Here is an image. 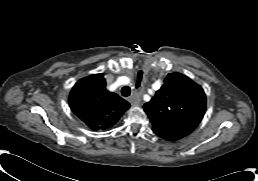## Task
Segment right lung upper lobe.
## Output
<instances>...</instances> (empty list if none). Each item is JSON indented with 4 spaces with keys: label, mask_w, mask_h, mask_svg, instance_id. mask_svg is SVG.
<instances>
[{
    "label": "right lung upper lobe",
    "mask_w": 258,
    "mask_h": 181,
    "mask_svg": "<svg viewBox=\"0 0 258 181\" xmlns=\"http://www.w3.org/2000/svg\"><path fill=\"white\" fill-rule=\"evenodd\" d=\"M72 111L91 129L113 126L130 104L106 89L102 74L90 75L79 80L69 96Z\"/></svg>",
    "instance_id": "cb5924a9"
}]
</instances>
